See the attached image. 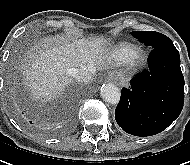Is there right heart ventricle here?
I'll list each match as a JSON object with an SVG mask.
<instances>
[{"label":"right heart ventricle","instance_id":"obj_1","mask_svg":"<svg viewBox=\"0 0 190 165\" xmlns=\"http://www.w3.org/2000/svg\"><path fill=\"white\" fill-rule=\"evenodd\" d=\"M138 50L137 46L128 42L118 43L111 51L112 58L118 63L129 61L131 56Z\"/></svg>","mask_w":190,"mask_h":165}]
</instances>
